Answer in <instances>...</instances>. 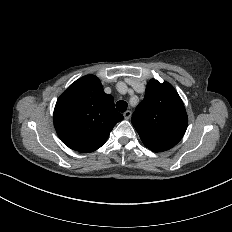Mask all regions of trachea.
Instances as JSON below:
<instances>
[{"mask_svg":"<svg viewBox=\"0 0 232 232\" xmlns=\"http://www.w3.org/2000/svg\"><path fill=\"white\" fill-rule=\"evenodd\" d=\"M128 104L126 101L120 100L116 103V108L119 112H125L127 110Z\"/></svg>","mask_w":232,"mask_h":232,"instance_id":"1","label":"trachea"}]
</instances>
